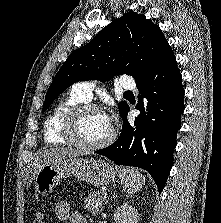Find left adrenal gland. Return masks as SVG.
<instances>
[{
    "label": "left adrenal gland",
    "mask_w": 221,
    "mask_h": 223,
    "mask_svg": "<svg viewBox=\"0 0 221 223\" xmlns=\"http://www.w3.org/2000/svg\"><path fill=\"white\" fill-rule=\"evenodd\" d=\"M111 198H115V196L111 197ZM108 203V201H106V204ZM103 209V208H102Z\"/></svg>",
    "instance_id": "obj_1"
}]
</instances>
